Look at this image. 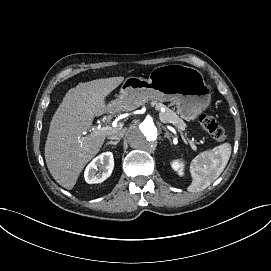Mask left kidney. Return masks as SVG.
Masks as SVG:
<instances>
[{
    "label": "left kidney",
    "mask_w": 271,
    "mask_h": 271,
    "mask_svg": "<svg viewBox=\"0 0 271 271\" xmlns=\"http://www.w3.org/2000/svg\"><path fill=\"white\" fill-rule=\"evenodd\" d=\"M171 166L180 176L184 175V162L181 159L173 160Z\"/></svg>",
    "instance_id": "1"
}]
</instances>
